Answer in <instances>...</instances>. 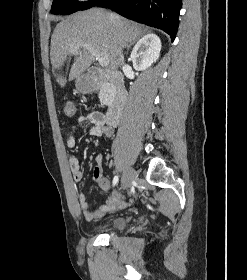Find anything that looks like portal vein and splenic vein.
I'll list each match as a JSON object with an SVG mask.
<instances>
[{
  "label": "portal vein and splenic vein",
  "mask_w": 247,
  "mask_h": 280,
  "mask_svg": "<svg viewBox=\"0 0 247 280\" xmlns=\"http://www.w3.org/2000/svg\"><path fill=\"white\" fill-rule=\"evenodd\" d=\"M80 47V45H75L71 47V51H77L80 49ZM83 47L86 48L94 57H96V60H98L102 67H107L109 65V57L107 55L100 54L95 48L87 44L83 45Z\"/></svg>",
  "instance_id": "18ae733b"
}]
</instances>
